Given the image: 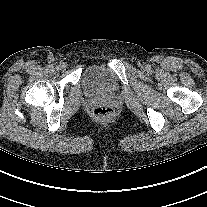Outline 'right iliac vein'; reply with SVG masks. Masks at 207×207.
<instances>
[{
  "mask_svg": "<svg viewBox=\"0 0 207 207\" xmlns=\"http://www.w3.org/2000/svg\"><path fill=\"white\" fill-rule=\"evenodd\" d=\"M59 68H60L61 70H66V68H67V64H66V63H62V64L59 66Z\"/></svg>",
  "mask_w": 207,
  "mask_h": 207,
  "instance_id": "63e3f726",
  "label": "right iliac vein"
}]
</instances>
